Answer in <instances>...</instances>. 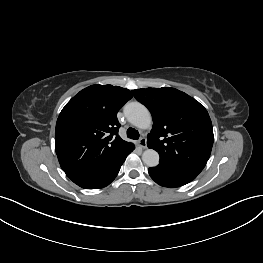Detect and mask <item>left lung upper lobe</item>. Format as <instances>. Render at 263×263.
Returning <instances> with one entry per match:
<instances>
[{
  "instance_id": "obj_1",
  "label": "left lung upper lobe",
  "mask_w": 263,
  "mask_h": 263,
  "mask_svg": "<svg viewBox=\"0 0 263 263\" xmlns=\"http://www.w3.org/2000/svg\"><path fill=\"white\" fill-rule=\"evenodd\" d=\"M153 117L147 146L160 155V165L198 175L213 145V128L207 110L186 93L174 88L132 90Z\"/></svg>"
}]
</instances>
